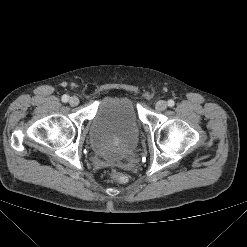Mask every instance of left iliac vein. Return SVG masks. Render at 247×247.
<instances>
[{
	"mask_svg": "<svg viewBox=\"0 0 247 247\" xmlns=\"http://www.w3.org/2000/svg\"><path fill=\"white\" fill-rule=\"evenodd\" d=\"M155 108L158 111H164L167 108V103L163 100H159L156 104H155Z\"/></svg>",
	"mask_w": 247,
	"mask_h": 247,
	"instance_id": "4c4485c4",
	"label": "left iliac vein"
}]
</instances>
